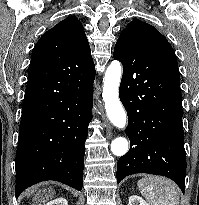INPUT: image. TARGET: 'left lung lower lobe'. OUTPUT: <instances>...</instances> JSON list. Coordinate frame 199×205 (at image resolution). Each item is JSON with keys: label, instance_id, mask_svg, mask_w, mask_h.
<instances>
[{"label": "left lung lower lobe", "instance_id": "obj_1", "mask_svg": "<svg viewBox=\"0 0 199 205\" xmlns=\"http://www.w3.org/2000/svg\"><path fill=\"white\" fill-rule=\"evenodd\" d=\"M114 59L123 76L119 97L128 115L129 151L117 163V182L135 173L162 175L185 189L186 156L180 82L156 54L120 36Z\"/></svg>", "mask_w": 199, "mask_h": 205}]
</instances>
